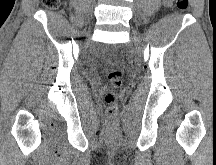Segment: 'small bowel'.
I'll return each mask as SVG.
<instances>
[{"mask_svg":"<svg viewBox=\"0 0 216 165\" xmlns=\"http://www.w3.org/2000/svg\"><path fill=\"white\" fill-rule=\"evenodd\" d=\"M163 2L166 6H170L172 4L173 0H163Z\"/></svg>","mask_w":216,"mask_h":165,"instance_id":"small-bowel-1","label":"small bowel"}]
</instances>
